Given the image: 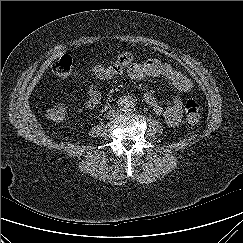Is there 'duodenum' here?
Returning a JSON list of instances; mask_svg holds the SVG:
<instances>
[{"mask_svg":"<svg viewBox=\"0 0 243 243\" xmlns=\"http://www.w3.org/2000/svg\"><path fill=\"white\" fill-rule=\"evenodd\" d=\"M108 101H112V97L111 96L108 98Z\"/></svg>","mask_w":243,"mask_h":243,"instance_id":"410a0bca","label":"duodenum"}]
</instances>
